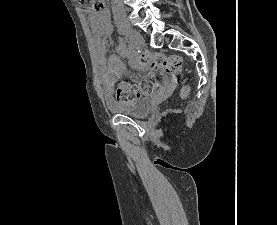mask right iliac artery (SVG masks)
I'll list each match as a JSON object with an SVG mask.
<instances>
[{
  "mask_svg": "<svg viewBox=\"0 0 277 225\" xmlns=\"http://www.w3.org/2000/svg\"><path fill=\"white\" fill-rule=\"evenodd\" d=\"M128 47L131 50L135 48V45L133 44V42L131 40L128 41Z\"/></svg>",
  "mask_w": 277,
  "mask_h": 225,
  "instance_id": "right-iliac-artery-1",
  "label": "right iliac artery"
}]
</instances>
